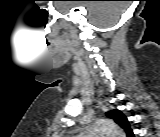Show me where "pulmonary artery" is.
<instances>
[{"mask_svg":"<svg viewBox=\"0 0 160 137\" xmlns=\"http://www.w3.org/2000/svg\"><path fill=\"white\" fill-rule=\"evenodd\" d=\"M77 137H104V136L97 131H90V132L81 133Z\"/></svg>","mask_w":160,"mask_h":137,"instance_id":"e3ab8cb5","label":"pulmonary artery"}]
</instances>
